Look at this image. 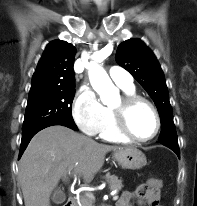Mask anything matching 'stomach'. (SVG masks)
Here are the masks:
<instances>
[{
    "mask_svg": "<svg viewBox=\"0 0 197 206\" xmlns=\"http://www.w3.org/2000/svg\"><path fill=\"white\" fill-rule=\"evenodd\" d=\"M114 159L126 169H140L147 163L146 156L136 148H125L114 151Z\"/></svg>",
    "mask_w": 197,
    "mask_h": 206,
    "instance_id": "stomach-1",
    "label": "stomach"
}]
</instances>
